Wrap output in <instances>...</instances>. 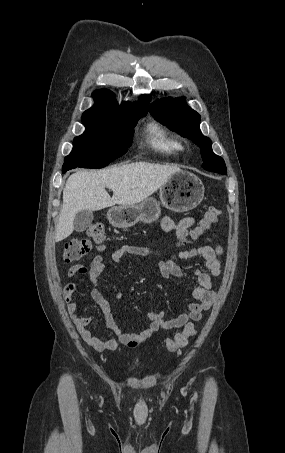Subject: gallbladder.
<instances>
[{"mask_svg": "<svg viewBox=\"0 0 285 453\" xmlns=\"http://www.w3.org/2000/svg\"><path fill=\"white\" fill-rule=\"evenodd\" d=\"M93 220V212L90 210L79 211L74 218V229L77 232L85 231Z\"/></svg>", "mask_w": 285, "mask_h": 453, "instance_id": "gallbladder-1", "label": "gallbladder"}]
</instances>
